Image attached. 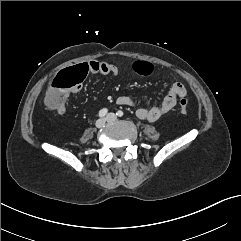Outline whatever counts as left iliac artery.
<instances>
[{
    "mask_svg": "<svg viewBox=\"0 0 241 241\" xmlns=\"http://www.w3.org/2000/svg\"><path fill=\"white\" fill-rule=\"evenodd\" d=\"M123 114H124V113H123V111H121V110L117 111V113H116V115L119 116V117H122Z\"/></svg>",
    "mask_w": 241,
    "mask_h": 241,
    "instance_id": "left-iliac-artery-1",
    "label": "left iliac artery"
}]
</instances>
